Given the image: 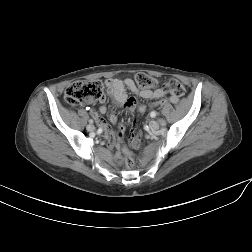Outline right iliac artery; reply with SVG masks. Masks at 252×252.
I'll list each match as a JSON object with an SVG mask.
<instances>
[{
    "mask_svg": "<svg viewBox=\"0 0 252 252\" xmlns=\"http://www.w3.org/2000/svg\"><path fill=\"white\" fill-rule=\"evenodd\" d=\"M102 133H103V128H100V129L97 130L98 135H101Z\"/></svg>",
    "mask_w": 252,
    "mask_h": 252,
    "instance_id": "right-iliac-artery-1",
    "label": "right iliac artery"
}]
</instances>
